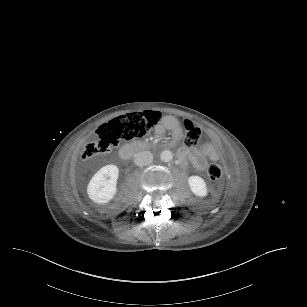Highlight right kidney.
<instances>
[{"mask_svg": "<svg viewBox=\"0 0 307 307\" xmlns=\"http://www.w3.org/2000/svg\"><path fill=\"white\" fill-rule=\"evenodd\" d=\"M119 169L115 165L102 167L87 186L89 198L98 204L108 203L116 194Z\"/></svg>", "mask_w": 307, "mask_h": 307, "instance_id": "right-kidney-1", "label": "right kidney"}]
</instances>
